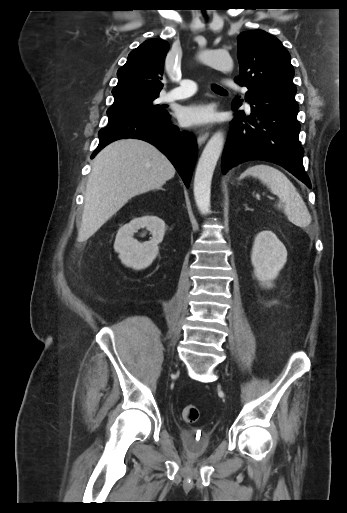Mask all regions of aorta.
<instances>
[{
	"instance_id": "762f6f07",
	"label": "aorta",
	"mask_w": 347,
	"mask_h": 513,
	"mask_svg": "<svg viewBox=\"0 0 347 513\" xmlns=\"http://www.w3.org/2000/svg\"><path fill=\"white\" fill-rule=\"evenodd\" d=\"M198 58L204 64L219 71L230 72L233 69L232 57L226 51H201ZM223 145V132L214 133L207 142L196 168L193 187L194 199L202 214L210 212L211 181Z\"/></svg>"
}]
</instances>
